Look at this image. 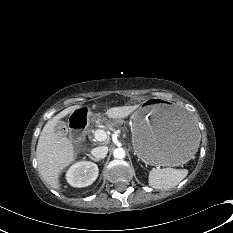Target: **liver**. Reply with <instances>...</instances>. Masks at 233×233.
<instances>
[{
  "mask_svg": "<svg viewBox=\"0 0 233 233\" xmlns=\"http://www.w3.org/2000/svg\"><path fill=\"white\" fill-rule=\"evenodd\" d=\"M139 105L109 108L106 115L112 119H123L135 111ZM72 106L58 113L43 127L39 136L36 159L42 179L54 189H60L59 177L61 172L75 161L77 153L74 151L72 140L64 132H55L59 120L79 109ZM90 116V113H87Z\"/></svg>",
  "mask_w": 233,
  "mask_h": 233,
  "instance_id": "liver-1",
  "label": "liver"
}]
</instances>
